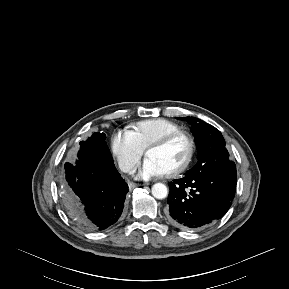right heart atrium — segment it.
<instances>
[{"instance_id": "1", "label": "right heart atrium", "mask_w": 289, "mask_h": 289, "mask_svg": "<svg viewBox=\"0 0 289 289\" xmlns=\"http://www.w3.org/2000/svg\"><path fill=\"white\" fill-rule=\"evenodd\" d=\"M111 150L124 172H131L144 153L135 134L129 129L119 130L113 134Z\"/></svg>"}]
</instances>
